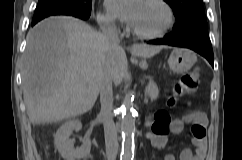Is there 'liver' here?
I'll use <instances>...</instances> for the list:
<instances>
[{
	"label": "liver",
	"instance_id": "1",
	"mask_svg": "<svg viewBox=\"0 0 242 160\" xmlns=\"http://www.w3.org/2000/svg\"><path fill=\"white\" fill-rule=\"evenodd\" d=\"M23 55L22 86L26 111L33 124L52 123L82 115L94 106L99 82L112 58H119L115 84L127 72L123 48L110 45L103 34L83 21L55 16L28 32ZM166 46L133 45L144 59Z\"/></svg>",
	"mask_w": 242,
	"mask_h": 160
}]
</instances>
